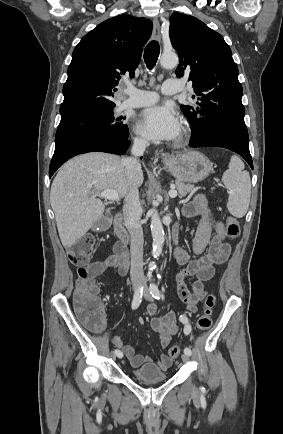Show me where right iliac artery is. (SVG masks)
Listing matches in <instances>:
<instances>
[{"mask_svg":"<svg viewBox=\"0 0 283 434\" xmlns=\"http://www.w3.org/2000/svg\"><path fill=\"white\" fill-rule=\"evenodd\" d=\"M142 295H143V286L140 285L137 290L134 293L133 301H132V309H137L142 301ZM114 353L117 355V357L122 358V353L119 350H115Z\"/></svg>","mask_w":283,"mask_h":434,"instance_id":"82829eb1","label":"right iliac artery"}]
</instances>
